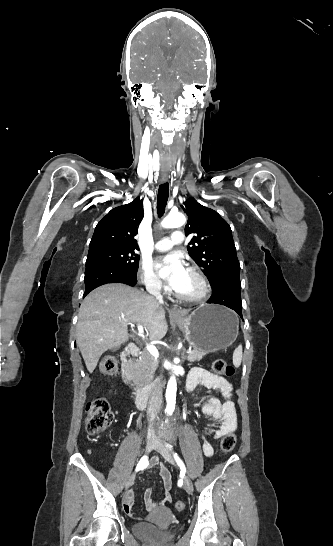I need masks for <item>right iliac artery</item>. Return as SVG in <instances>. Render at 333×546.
Listing matches in <instances>:
<instances>
[{
  "instance_id": "82829eb1",
  "label": "right iliac artery",
  "mask_w": 333,
  "mask_h": 546,
  "mask_svg": "<svg viewBox=\"0 0 333 546\" xmlns=\"http://www.w3.org/2000/svg\"><path fill=\"white\" fill-rule=\"evenodd\" d=\"M148 463H149V462H148V456H147V455L143 456V457L141 458V460L139 461V463H138V465H137L135 471L137 472V471H139V470H142V469L146 468L147 465H148Z\"/></svg>"
}]
</instances>
